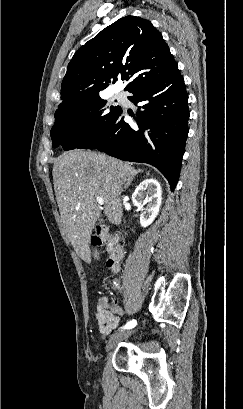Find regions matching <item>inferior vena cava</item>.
I'll return each mask as SVG.
<instances>
[{
  "mask_svg": "<svg viewBox=\"0 0 243 409\" xmlns=\"http://www.w3.org/2000/svg\"><path fill=\"white\" fill-rule=\"evenodd\" d=\"M100 159H103V156H102V155H100Z\"/></svg>",
  "mask_w": 243,
  "mask_h": 409,
  "instance_id": "obj_1",
  "label": "inferior vena cava"
}]
</instances>
